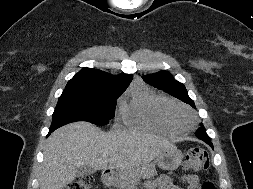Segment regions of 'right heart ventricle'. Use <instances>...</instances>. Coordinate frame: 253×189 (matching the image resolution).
<instances>
[{
  "instance_id": "obj_1",
  "label": "right heart ventricle",
  "mask_w": 253,
  "mask_h": 189,
  "mask_svg": "<svg viewBox=\"0 0 253 189\" xmlns=\"http://www.w3.org/2000/svg\"><path fill=\"white\" fill-rule=\"evenodd\" d=\"M174 104L172 100L142 88H134L122 100L121 117L124 124L136 130L162 135L179 134L166 119L164 109Z\"/></svg>"
}]
</instances>
